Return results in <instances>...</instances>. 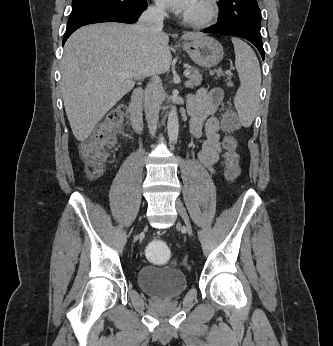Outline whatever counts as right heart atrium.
<instances>
[{
    "instance_id": "right-heart-atrium-1",
    "label": "right heart atrium",
    "mask_w": 333,
    "mask_h": 346,
    "mask_svg": "<svg viewBox=\"0 0 333 346\" xmlns=\"http://www.w3.org/2000/svg\"><path fill=\"white\" fill-rule=\"evenodd\" d=\"M151 11L154 13V14H162L163 13V9L158 5V4H154L151 6Z\"/></svg>"
}]
</instances>
